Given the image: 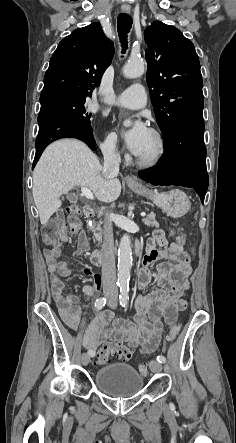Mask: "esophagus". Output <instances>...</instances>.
Here are the masks:
<instances>
[{
  "label": "esophagus",
  "instance_id": "obj_1",
  "mask_svg": "<svg viewBox=\"0 0 236 443\" xmlns=\"http://www.w3.org/2000/svg\"><path fill=\"white\" fill-rule=\"evenodd\" d=\"M121 11L123 13H130L131 8L129 6H123L121 8ZM126 181L128 183H132V184H139L138 180L135 177H132V176H126Z\"/></svg>",
  "mask_w": 236,
  "mask_h": 443
}]
</instances>
